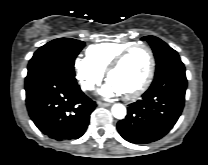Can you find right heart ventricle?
Masks as SVG:
<instances>
[{"label": "right heart ventricle", "instance_id": "e07e8e85", "mask_svg": "<svg viewBox=\"0 0 208 165\" xmlns=\"http://www.w3.org/2000/svg\"><path fill=\"white\" fill-rule=\"evenodd\" d=\"M133 42L108 41L90 45L86 49V57L102 72L106 71L110 62L124 48Z\"/></svg>", "mask_w": 208, "mask_h": 165}]
</instances>
